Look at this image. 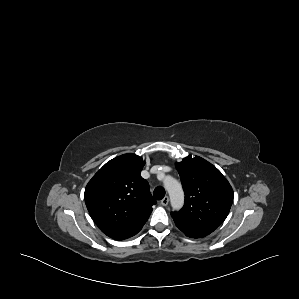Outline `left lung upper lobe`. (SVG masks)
Instances as JSON below:
<instances>
[{
  "label": "left lung upper lobe",
  "mask_w": 299,
  "mask_h": 299,
  "mask_svg": "<svg viewBox=\"0 0 299 299\" xmlns=\"http://www.w3.org/2000/svg\"><path fill=\"white\" fill-rule=\"evenodd\" d=\"M185 192V204L171 213L186 236H207L226 219L233 190L222 173L205 159L188 156L176 163Z\"/></svg>",
  "instance_id": "obj_1"
}]
</instances>
